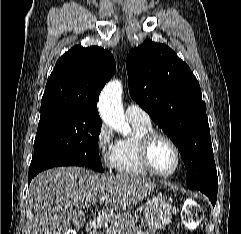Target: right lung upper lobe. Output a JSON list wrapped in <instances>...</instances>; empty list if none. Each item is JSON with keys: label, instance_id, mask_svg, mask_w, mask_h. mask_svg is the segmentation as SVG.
I'll return each mask as SVG.
<instances>
[{"label": "right lung upper lobe", "instance_id": "right-lung-upper-lobe-1", "mask_svg": "<svg viewBox=\"0 0 241 234\" xmlns=\"http://www.w3.org/2000/svg\"><path fill=\"white\" fill-rule=\"evenodd\" d=\"M115 71V60L108 50L74 46L57 61L47 80L41 108L70 107L100 119L97 100Z\"/></svg>", "mask_w": 241, "mask_h": 234}]
</instances>
